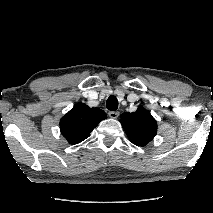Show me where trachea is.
I'll return each mask as SVG.
<instances>
[{
  "mask_svg": "<svg viewBox=\"0 0 213 213\" xmlns=\"http://www.w3.org/2000/svg\"><path fill=\"white\" fill-rule=\"evenodd\" d=\"M106 107L110 111H116L118 108V100L115 96L111 95L106 102Z\"/></svg>",
  "mask_w": 213,
  "mask_h": 213,
  "instance_id": "trachea-1",
  "label": "trachea"
}]
</instances>
